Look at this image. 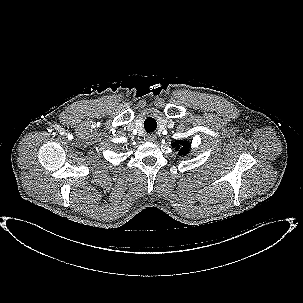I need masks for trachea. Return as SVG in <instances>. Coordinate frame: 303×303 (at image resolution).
<instances>
[{"mask_svg": "<svg viewBox=\"0 0 303 303\" xmlns=\"http://www.w3.org/2000/svg\"><path fill=\"white\" fill-rule=\"evenodd\" d=\"M156 127H157V122L154 118L148 117L144 121V128L147 133L153 132L156 129Z\"/></svg>", "mask_w": 303, "mask_h": 303, "instance_id": "1", "label": "trachea"}]
</instances>
